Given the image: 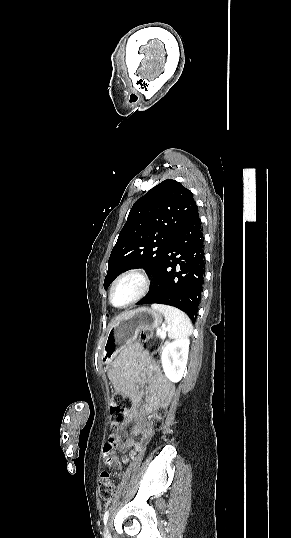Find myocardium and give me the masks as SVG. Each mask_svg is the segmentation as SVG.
I'll return each instance as SVG.
<instances>
[{
    "label": "myocardium",
    "instance_id": "1",
    "mask_svg": "<svg viewBox=\"0 0 291 538\" xmlns=\"http://www.w3.org/2000/svg\"><path fill=\"white\" fill-rule=\"evenodd\" d=\"M127 278H137L141 284L140 290L126 303L122 305H116L113 302L114 290L120 282H122L123 280ZM150 288H151V278L145 271L141 269H129L122 272L114 279V281L112 282L109 288L108 300H109V303L115 308H126L140 301L141 299H143L149 292Z\"/></svg>",
    "mask_w": 291,
    "mask_h": 538
}]
</instances>
